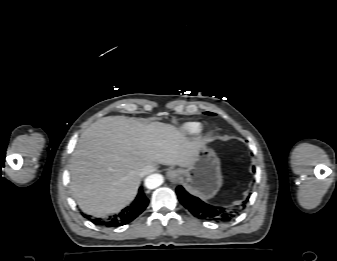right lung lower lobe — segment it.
I'll list each match as a JSON object with an SVG mask.
<instances>
[{
	"label": "right lung lower lobe",
	"mask_w": 337,
	"mask_h": 261,
	"mask_svg": "<svg viewBox=\"0 0 337 261\" xmlns=\"http://www.w3.org/2000/svg\"><path fill=\"white\" fill-rule=\"evenodd\" d=\"M149 200L146 198L142 187L139 188V192L135 200L125 209H123L120 213L109 217L108 219H100L95 218L90 219L94 224L106 226V227H118L125 225L131 221H133L136 217H138L147 207ZM85 216V215H84Z\"/></svg>",
	"instance_id": "right-lung-lower-lobe-1"
}]
</instances>
